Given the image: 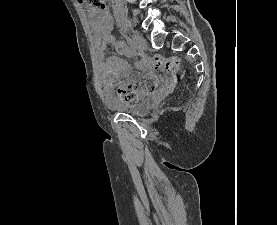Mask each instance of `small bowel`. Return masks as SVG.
<instances>
[{"mask_svg": "<svg viewBox=\"0 0 277 225\" xmlns=\"http://www.w3.org/2000/svg\"><path fill=\"white\" fill-rule=\"evenodd\" d=\"M89 17L93 31V45L99 60L101 83L104 89L107 90L116 81L129 77L131 65L128 61L118 56H111L105 60L106 44L112 42L117 53L124 57H131L132 52L123 41H115L113 39V20L106 8L100 12L90 9ZM173 83V77L163 76V84L165 87H169Z\"/></svg>", "mask_w": 277, "mask_h": 225, "instance_id": "small-bowel-1", "label": "small bowel"}]
</instances>
